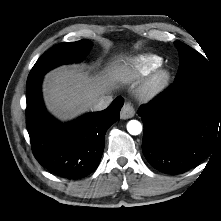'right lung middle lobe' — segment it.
Listing matches in <instances>:
<instances>
[{
  "mask_svg": "<svg viewBox=\"0 0 221 221\" xmlns=\"http://www.w3.org/2000/svg\"><path fill=\"white\" fill-rule=\"evenodd\" d=\"M91 45L89 40H80L63 42L52 47L33 66L27 79V85H31L42 78L46 72L58 65L81 61L90 50Z\"/></svg>",
  "mask_w": 221,
  "mask_h": 221,
  "instance_id": "right-lung-middle-lobe-1",
  "label": "right lung middle lobe"
}]
</instances>
